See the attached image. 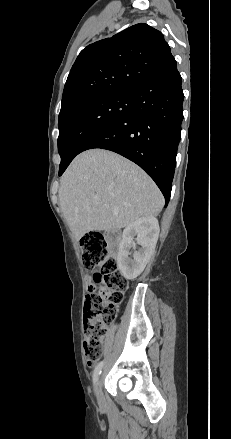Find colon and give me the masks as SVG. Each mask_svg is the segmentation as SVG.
<instances>
[{
    "instance_id": "1",
    "label": "colon",
    "mask_w": 231,
    "mask_h": 439,
    "mask_svg": "<svg viewBox=\"0 0 231 439\" xmlns=\"http://www.w3.org/2000/svg\"><path fill=\"white\" fill-rule=\"evenodd\" d=\"M82 263L86 270L94 271V288L85 296L84 353L90 365L102 352V338L107 326L115 317L116 306L127 288V280L119 272L106 238L100 233H89L80 241Z\"/></svg>"
}]
</instances>
